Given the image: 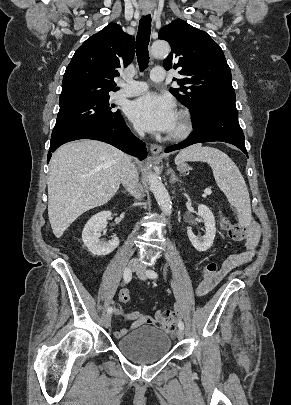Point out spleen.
Masks as SVG:
<instances>
[{
    "label": "spleen",
    "instance_id": "1",
    "mask_svg": "<svg viewBox=\"0 0 291 405\" xmlns=\"http://www.w3.org/2000/svg\"><path fill=\"white\" fill-rule=\"evenodd\" d=\"M184 161L207 162L213 171L215 181L238 214L241 224H248L252 218L249 192L245 180L236 164L227 154L212 147L194 145L182 150L175 163Z\"/></svg>",
    "mask_w": 291,
    "mask_h": 405
}]
</instances>
